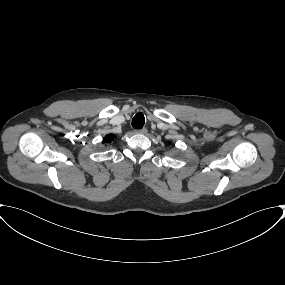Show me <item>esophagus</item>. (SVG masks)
Instances as JSON below:
<instances>
[{"label":"esophagus","mask_w":285,"mask_h":285,"mask_svg":"<svg viewBox=\"0 0 285 285\" xmlns=\"http://www.w3.org/2000/svg\"><path fill=\"white\" fill-rule=\"evenodd\" d=\"M135 132L139 133V134H146L147 133V129L146 128H142V129L136 130Z\"/></svg>","instance_id":"obj_1"}]
</instances>
